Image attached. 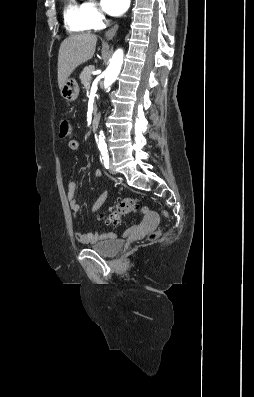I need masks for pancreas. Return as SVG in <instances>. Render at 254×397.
<instances>
[{
  "label": "pancreas",
  "mask_w": 254,
  "mask_h": 397,
  "mask_svg": "<svg viewBox=\"0 0 254 397\" xmlns=\"http://www.w3.org/2000/svg\"><path fill=\"white\" fill-rule=\"evenodd\" d=\"M93 70H94V66L89 65L83 69V71L80 75L81 83L84 85L85 88L88 87L86 84L90 83V81H91V75H92Z\"/></svg>",
  "instance_id": "1"
}]
</instances>
